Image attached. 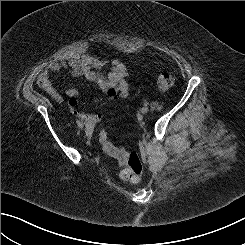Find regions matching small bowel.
<instances>
[{"instance_id":"1","label":"small bowel","mask_w":245,"mask_h":245,"mask_svg":"<svg viewBox=\"0 0 245 245\" xmlns=\"http://www.w3.org/2000/svg\"><path fill=\"white\" fill-rule=\"evenodd\" d=\"M104 64L105 62L102 59L83 55L69 61L54 60L50 62L47 69L42 74L49 78V71L55 72L61 69H67L72 76H82L88 81L97 84L100 90L112 101L119 98H126L129 94V84L127 82L128 72L126 66L121 61L114 60L110 70L107 73H102L100 69ZM45 90L56 102H63V96L54 89L51 83ZM65 94L69 98L68 105L70 112L82 119L89 128L94 127L101 121V114H87L78 110L77 98L79 96V91L76 88H67Z\"/></svg>"}]
</instances>
